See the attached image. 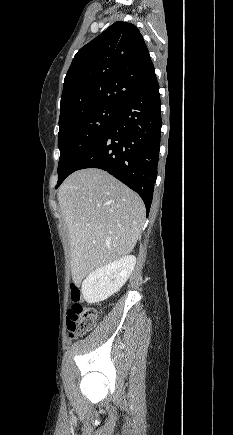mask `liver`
<instances>
[{"instance_id":"6515ba94","label":"liver","mask_w":233,"mask_h":435,"mask_svg":"<svg viewBox=\"0 0 233 435\" xmlns=\"http://www.w3.org/2000/svg\"><path fill=\"white\" fill-rule=\"evenodd\" d=\"M58 201L69 232L74 282L133 250L145 206L137 193L107 172H74L60 186Z\"/></svg>"}]
</instances>
